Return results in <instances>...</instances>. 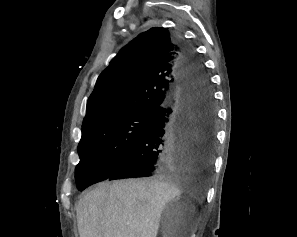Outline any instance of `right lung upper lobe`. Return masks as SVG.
I'll use <instances>...</instances> for the list:
<instances>
[{
	"label": "right lung upper lobe",
	"instance_id": "1",
	"mask_svg": "<svg viewBox=\"0 0 297 237\" xmlns=\"http://www.w3.org/2000/svg\"><path fill=\"white\" fill-rule=\"evenodd\" d=\"M175 37L154 27L122 48L100 74L90 95L82 131L97 121L134 112H155L180 86Z\"/></svg>",
	"mask_w": 297,
	"mask_h": 237
}]
</instances>
